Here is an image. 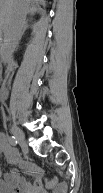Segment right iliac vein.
I'll return each instance as SVG.
<instances>
[{
	"label": "right iliac vein",
	"mask_w": 103,
	"mask_h": 193,
	"mask_svg": "<svg viewBox=\"0 0 103 193\" xmlns=\"http://www.w3.org/2000/svg\"><path fill=\"white\" fill-rule=\"evenodd\" d=\"M11 132L13 133V135L15 136V138L19 143H21L22 145H25L24 133L18 127L11 126Z\"/></svg>",
	"instance_id": "63e3f726"
}]
</instances>
